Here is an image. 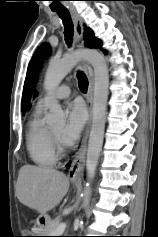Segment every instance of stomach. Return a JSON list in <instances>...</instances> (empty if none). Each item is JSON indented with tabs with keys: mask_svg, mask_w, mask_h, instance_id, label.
Masks as SVG:
<instances>
[{
	"mask_svg": "<svg viewBox=\"0 0 158 237\" xmlns=\"http://www.w3.org/2000/svg\"><path fill=\"white\" fill-rule=\"evenodd\" d=\"M43 227H38V228H35L37 231L35 232L37 235L35 236H44L42 235L44 233V230L42 229Z\"/></svg>",
	"mask_w": 158,
	"mask_h": 237,
	"instance_id": "obj_1",
	"label": "stomach"
}]
</instances>
